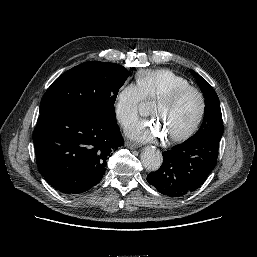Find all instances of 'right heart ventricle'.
Returning <instances> with one entry per match:
<instances>
[{
  "instance_id": "right-heart-ventricle-1",
  "label": "right heart ventricle",
  "mask_w": 257,
  "mask_h": 257,
  "mask_svg": "<svg viewBox=\"0 0 257 257\" xmlns=\"http://www.w3.org/2000/svg\"><path fill=\"white\" fill-rule=\"evenodd\" d=\"M136 84L145 100H156L166 93L190 83L168 69H147L136 74Z\"/></svg>"
}]
</instances>
